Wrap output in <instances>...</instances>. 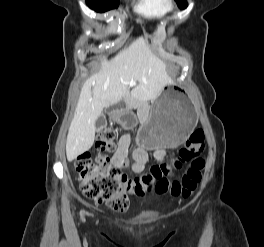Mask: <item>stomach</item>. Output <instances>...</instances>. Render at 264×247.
Segmentation results:
<instances>
[{"label": "stomach", "instance_id": "1", "mask_svg": "<svg viewBox=\"0 0 264 247\" xmlns=\"http://www.w3.org/2000/svg\"><path fill=\"white\" fill-rule=\"evenodd\" d=\"M163 90L137 132V142L146 149L180 147L196 122L193 104L182 86H164ZM112 117L125 126L135 120L129 106L115 110Z\"/></svg>", "mask_w": 264, "mask_h": 247}]
</instances>
